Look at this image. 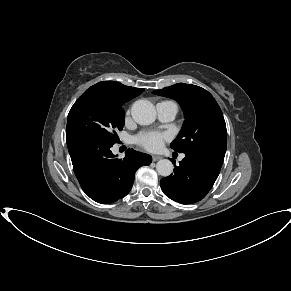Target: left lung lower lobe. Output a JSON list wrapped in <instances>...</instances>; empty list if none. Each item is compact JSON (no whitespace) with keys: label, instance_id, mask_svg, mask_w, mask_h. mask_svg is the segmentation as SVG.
<instances>
[{"label":"left lung lower lobe","instance_id":"obj_1","mask_svg":"<svg viewBox=\"0 0 291 291\" xmlns=\"http://www.w3.org/2000/svg\"><path fill=\"white\" fill-rule=\"evenodd\" d=\"M224 156L185 153V158L175 166L174 174L161 179L160 186L170 199L192 204L203 199L215 183Z\"/></svg>","mask_w":291,"mask_h":291}]
</instances>
